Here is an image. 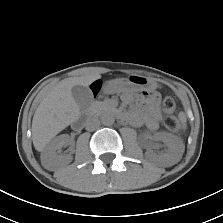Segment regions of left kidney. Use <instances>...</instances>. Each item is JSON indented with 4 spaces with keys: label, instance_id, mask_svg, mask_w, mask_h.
I'll list each match as a JSON object with an SVG mask.
<instances>
[{
    "label": "left kidney",
    "instance_id": "left-kidney-1",
    "mask_svg": "<svg viewBox=\"0 0 223 223\" xmlns=\"http://www.w3.org/2000/svg\"><path fill=\"white\" fill-rule=\"evenodd\" d=\"M156 140L162 141L167 149L161 153H154L152 151H147L146 156L149 160L162 164L165 166H170L177 163L184 151L183 144L175 136L169 133H156L154 135Z\"/></svg>",
    "mask_w": 223,
    "mask_h": 223
}]
</instances>
